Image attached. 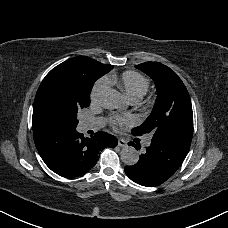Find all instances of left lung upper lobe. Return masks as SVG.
Listing matches in <instances>:
<instances>
[{"mask_svg": "<svg viewBox=\"0 0 228 228\" xmlns=\"http://www.w3.org/2000/svg\"><path fill=\"white\" fill-rule=\"evenodd\" d=\"M149 75L157 87V99L149 117L132 134L163 136L191 143L193 136V112L189 93L169 67L146 62L135 66Z\"/></svg>", "mask_w": 228, "mask_h": 228, "instance_id": "1", "label": "left lung upper lobe"}]
</instances>
